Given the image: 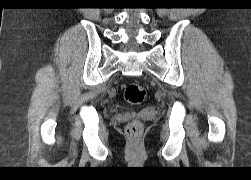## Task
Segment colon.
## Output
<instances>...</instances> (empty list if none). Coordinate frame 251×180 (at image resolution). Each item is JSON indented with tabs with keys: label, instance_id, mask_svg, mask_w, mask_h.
<instances>
[{
	"label": "colon",
	"instance_id": "obj_1",
	"mask_svg": "<svg viewBox=\"0 0 251 180\" xmlns=\"http://www.w3.org/2000/svg\"><path fill=\"white\" fill-rule=\"evenodd\" d=\"M146 97V90L140 84L131 82L124 87V98L132 105L141 104ZM142 130V125L138 120H133L126 127V134L133 140L139 138Z\"/></svg>",
	"mask_w": 251,
	"mask_h": 180
}]
</instances>
